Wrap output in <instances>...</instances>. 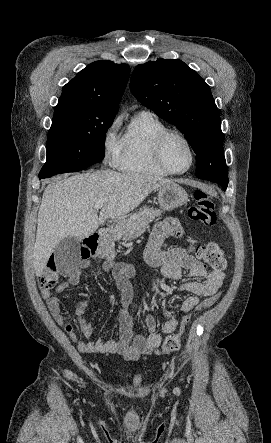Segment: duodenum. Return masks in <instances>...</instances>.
I'll return each instance as SVG.
<instances>
[{"label": "duodenum", "instance_id": "obj_1", "mask_svg": "<svg viewBox=\"0 0 271 443\" xmlns=\"http://www.w3.org/2000/svg\"><path fill=\"white\" fill-rule=\"evenodd\" d=\"M99 236L101 239L109 240L114 237V232L109 228H103L99 231Z\"/></svg>", "mask_w": 271, "mask_h": 443}]
</instances>
